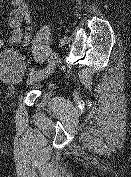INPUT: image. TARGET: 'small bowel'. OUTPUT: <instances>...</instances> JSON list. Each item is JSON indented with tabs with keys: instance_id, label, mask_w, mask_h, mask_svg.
<instances>
[{
	"instance_id": "small-bowel-1",
	"label": "small bowel",
	"mask_w": 131,
	"mask_h": 177,
	"mask_svg": "<svg viewBox=\"0 0 131 177\" xmlns=\"http://www.w3.org/2000/svg\"><path fill=\"white\" fill-rule=\"evenodd\" d=\"M11 11L8 19L9 37L6 42L0 40V48L5 44L14 45L20 41L26 44L31 37L30 8L27 0H8ZM23 25H25L23 27Z\"/></svg>"
}]
</instances>
